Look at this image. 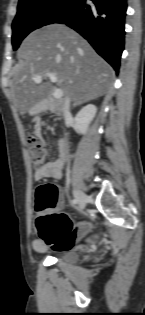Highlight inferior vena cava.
I'll return each instance as SVG.
<instances>
[{"label": "inferior vena cava", "instance_id": "obj_1", "mask_svg": "<svg viewBox=\"0 0 145 315\" xmlns=\"http://www.w3.org/2000/svg\"><path fill=\"white\" fill-rule=\"evenodd\" d=\"M63 114L64 117H68L70 115V98L66 97L63 105Z\"/></svg>", "mask_w": 145, "mask_h": 315}]
</instances>
